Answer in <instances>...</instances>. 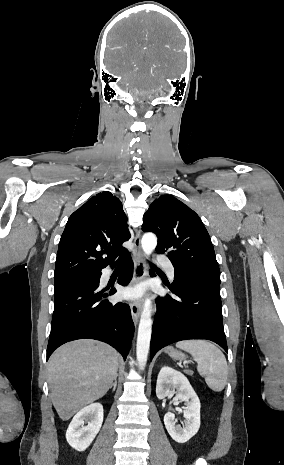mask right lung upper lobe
I'll return each mask as SVG.
<instances>
[{
  "label": "right lung upper lobe",
  "instance_id": "right-lung-upper-lobe-1",
  "mask_svg": "<svg viewBox=\"0 0 284 465\" xmlns=\"http://www.w3.org/2000/svg\"><path fill=\"white\" fill-rule=\"evenodd\" d=\"M126 219L121 201L108 191L98 193L76 210L59 242L54 280L98 275L127 253L121 246L130 238Z\"/></svg>",
  "mask_w": 284,
  "mask_h": 465
}]
</instances>
